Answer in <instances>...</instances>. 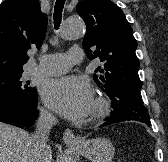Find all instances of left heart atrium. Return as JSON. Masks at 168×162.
<instances>
[{
  "instance_id": "obj_1",
  "label": "left heart atrium",
  "mask_w": 168,
  "mask_h": 162,
  "mask_svg": "<svg viewBox=\"0 0 168 162\" xmlns=\"http://www.w3.org/2000/svg\"><path fill=\"white\" fill-rule=\"evenodd\" d=\"M42 95L51 109L71 120L83 119L92 110V89L83 77L52 79L45 84Z\"/></svg>"
}]
</instances>
